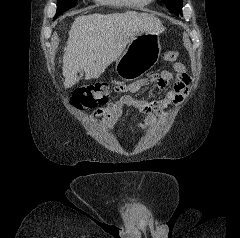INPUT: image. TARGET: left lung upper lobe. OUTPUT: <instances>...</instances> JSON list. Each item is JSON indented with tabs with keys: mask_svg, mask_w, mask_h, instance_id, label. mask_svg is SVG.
Returning <instances> with one entry per match:
<instances>
[{
	"mask_svg": "<svg viewBox=\"0 0 240 238\" xmlns=\"http://www.w3.org/2000/svg\"><path fill=\"white\" fill-rule=\"evenodd\" d=\"M167 8L177 15H182V0H163Z\"/></svg>",
	"mask_w": 240,
	"mask_h": 238,
	"instance_id": "left-lung-upper-lobe-1",
	"label": "left lung upper lobe"
}]
</instances>
